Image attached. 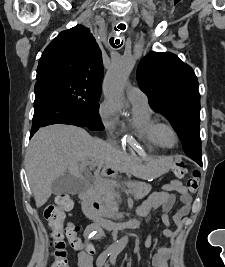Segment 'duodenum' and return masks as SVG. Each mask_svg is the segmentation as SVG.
I'll use <instances>...</instances> for the list:
<instances>
[{"label": "duodenum", "instance_id": "obj_1", "mask_svg": "<svg viewBox=\"0 0 225 267\" xmlns=\"http://www.w3.org/2000/svg\"><path fill=\"white\" fill-rule=\"evenodd\" d=\"M82 209L88 219L108 230H119L123 227L136 228L139 225V222L135 220H129L124 223H115L103 217L100 213L99 204L96 201L91 200L87 195H85V200L82 203Z\"/></svg>", "mask_w": 225, "mask_h": 267}]
</instances>
